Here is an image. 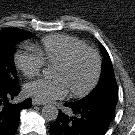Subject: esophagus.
<instances>
[{
	"instance_id": "34e87169",
	"label": "esophagus",
	"mask_w": 135,
	"mask_h": 135,
	"mask_svg": "<svg viewBox=\"0 0 135 135\" xmlns=\"http://www.w3.org/2000/svg\"><path fill=\"white\" fill-rule=\"evenodd\" d=\"M45 102H41L40 100L33 98L32 99V105H44Z\"/></svg>"
}]
</instances>
